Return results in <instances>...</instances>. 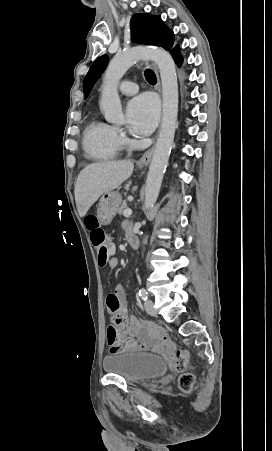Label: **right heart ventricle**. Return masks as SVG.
Returning <instances> with one entry per match:
<instances>
[{
    "label": "right heart ventricle",
    "mask_w": 272,
    "mask_h": 451,
    "mask_svg": "<svg viewBox=\"0 0 272 451\" xmlns=\"http://www.w3.org/2000/svg\"><path fill=\"white\" fill-rule=\"evenodd\" d=\"M84 146L91 158L106 160L115 155L118 149V139L113 127L94 121L85 133Z\"/></svg>",
    "instance_id": "1"
}]
</instances>
